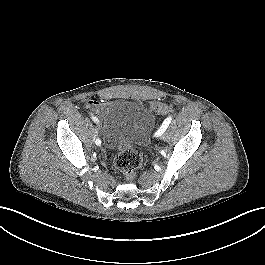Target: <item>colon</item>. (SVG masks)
<instances>
[{
    "label": "colon",
    "instance_id": "5ec220e1",
    "mask_svg": "<svg viewBox=\"0 0 265 265\" xmlns=\"http://www.w3.org/2000/svg\"><path fill=\"white\" fill-rule=\"evenodd\" d=\"M151 108L159 114H166L170 110L169 106L163 103H152ZM142 162L143 155L133 147L118 150L114 158V165L128 180L135 179Z\"/></svg>",
    "mask_w": 265,
    "mask_h": 265
}]
</instances>
